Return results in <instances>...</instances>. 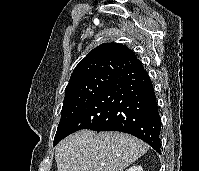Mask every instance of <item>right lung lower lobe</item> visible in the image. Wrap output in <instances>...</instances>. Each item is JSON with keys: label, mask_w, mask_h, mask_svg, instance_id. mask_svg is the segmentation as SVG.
<instances>
[{"label": "right lung lower lobe", "mask_w": 199, "mask_h": 171, "mask_svg": "<svg viewBox=\"0 0 199 171\" xmlns=\"http://www.w3.org/2000/svg\"><path fill=\"white\" fill-rule=\"evenodd\" d=\"M81 129L125 132L160 153L161 119L151 79L142 63L118 73L99 89L69 123L61 139Z\"/></svg>", "instance_id": "98d812e1"}]
</instances>
